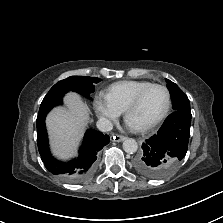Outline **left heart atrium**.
<instances>
[{
  "mask_svg": "<svg viewBox=\"0 0 223 223\" xmlns=\"http://www.w3.org/2000/svg\"><path fill=\"white\" fill-rule=\"evenodd\" d=\"M127 125L131 128L133 127L128 121H127Z\"/></svg>",
  "mask_w": 223,
  "mask_h": 223,
  "instance_id": "1",
  "label": "left heart atrium"
}]
</instances>
